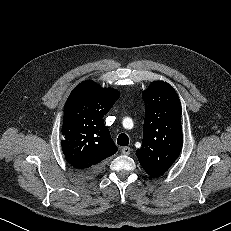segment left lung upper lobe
I'll use <instances>...</instances> for the list:
<instances>
[{"mask_svg": "<svg viewBox=\"0 0 231 231\" xmlns=\"http://www.w3.org/2000/svg\"><path fill=\"white\" fill-rule=\"evenodd\" d=\"M142 96L143 141L136 155L143 169L158 177L169 169L182 149L181 103L174 88L163 81H154Z\"/></svg>", "mask_w": 231, "mask_h": 231, "instance_id": "obj_1", "label": "left lung upper lobe"}]
</instances>
